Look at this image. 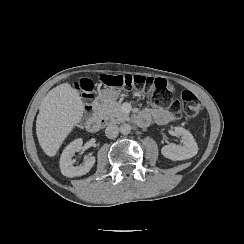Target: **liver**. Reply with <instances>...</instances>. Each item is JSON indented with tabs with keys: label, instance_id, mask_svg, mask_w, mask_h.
I'll return each instance as SVG.
<instances>
[{
	"label": "liver",
	"instance_id": "1",
	"mask_svg": "<svg viewBox=\"0 0 244 244\" xmlns=\"http://www.w3.org/2000/svg\"><path fill=\"white\" fill-rule=\"evenodd\" d=\"M85 112L71 81L57 85L45 95L36 118V135L46 156L53 158L58 154L67 137L83 121Z\"/></svg>",
	"mask_w": 244,
	"mask_h": 244
}]
</instances>
